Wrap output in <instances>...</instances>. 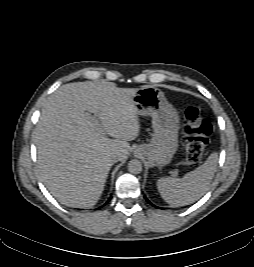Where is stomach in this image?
Returning a JSON list of instances; mask_svg holds the SVG:
<instances>
[{
  "instance_id": "0dacf381",
  "label": "stomach",
  "mask_w": 254,
  "mask_h": 267,
  "mask_svg": "<svg viewBox=\"0 0 254 267\" xmlns=\"http://www.w3.org/2000/svg\"><path fill=\"white\" fill-rule=\"evenodd\" d=\"M133 102L138 115L152 118L153 137L148 144L136 148L151 166L162 168L168 165L178 149L180 119L177 110L167 101L164 93L153 86L137 90Z\"/></svg>"
}]
</instances>
